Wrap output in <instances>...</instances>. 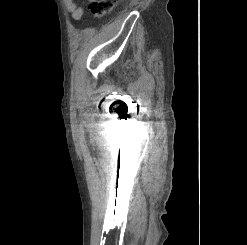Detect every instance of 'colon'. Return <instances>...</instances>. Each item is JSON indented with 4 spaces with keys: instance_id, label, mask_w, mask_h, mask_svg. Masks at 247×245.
Masks as SVG:
<instances>
[{
    "instance_id": "colon-1",
    "label": "colon",
    "mask_w": 247,
    "mask_h": 245,
    "mask_svg": "<svg viewBox=\"0 0 247 245\" xmlns=\"http://www.w3.org/2000/svg\"><path fill=\"white\" fill-rule=\"evenodd\" d=\"M118 0H92L89 4V12L95 18H101L112 13Z\"/></svg>"
}]
</instances>
